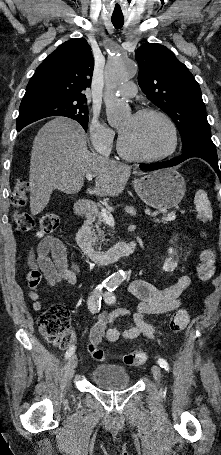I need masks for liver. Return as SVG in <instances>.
<instances>
[{
    "label": "liver",
    "instance_id": "liver-1",
    "mask_svg": "<svg viewBox=\"0 0 221 455\" xmlns=\"http://www.w3.org/2000/svg\"><path fill=\"white\" fill-rule=\"evenodd\" d=\"M86 139L80 124L66 117H56L38 131L29 172L32 215L44 210L55 189L66 194L78 193L86 174L96 176L95 187L87 193L111 197L122 193L131 167L91 153Z\"/></svg>",
    "mask_w": 221,
    "mask_h": 455
}]
</instances>
